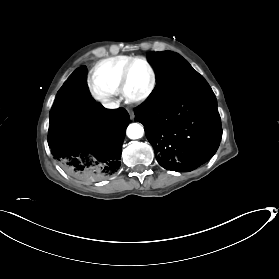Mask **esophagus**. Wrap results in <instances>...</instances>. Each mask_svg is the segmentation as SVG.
<instances>
[{
	"mask_svg": "<svg viewBox=\"0 0 279 279\" xmlns=\"http://www.w3.org/2000/svg\"><path fill=\"white\" fill-rule=\"evenodd\" d=\"M129 114H130V118L133 119L135 117L133 110H128Z\"/></svg>",
	"mask_w": 279,
	"mask_h": 279,
	"instance_id": "1",
	"label": "esophagus"
}]
</instances>
